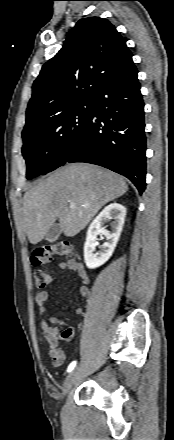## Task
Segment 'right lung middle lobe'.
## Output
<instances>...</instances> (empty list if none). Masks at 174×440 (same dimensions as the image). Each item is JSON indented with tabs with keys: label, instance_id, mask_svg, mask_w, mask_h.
I'll list each match as a JSON object with an SVG mask.
<instances>
[{
	"label": "right lung middle lobe",
	"instance_id": "dd1d6c3e",
	"mask_svg": "<svg viewBox=\"0 0 174 440\" xmlns=\"http://www.w3.org/2000/svg\"><path fill=\"white\" fill-rule=\"evenodd\" d=\"M90 112L91 101L85 99L22 132L28 179L65 163L72 145L86 130Z\"/></svg>",
	"mask_w": 174,
	"mask_h": 440
}]
</instances>
